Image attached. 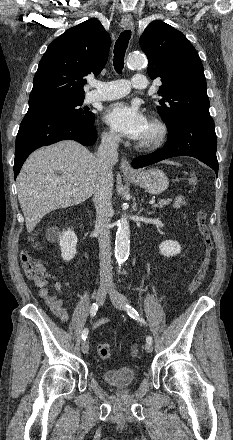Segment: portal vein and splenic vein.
<instances>
[{
	"label": "portal vein and splenic vein",
	"instance_id": "obj_1",
	"mask_svg": "<svg viewBox=\"0 0 233 440\" xmlns=\"http://www.w3.org/2000/svg\"><path fill=\"white\" fill-rule=\"evenodd\" d=\"M155 203V201L154 200H151L150 202H149V204H154Z\"/></svg>",
	"mask_w": 233,
	"mask_h": 440
}]
</instances>
